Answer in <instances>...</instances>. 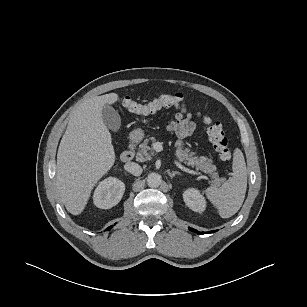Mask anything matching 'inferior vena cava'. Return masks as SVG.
Wrapping results in <instances>:
<instances>
[{"instance_id":"inferior-vena-cava-1","label":"inferior vena cava","mask_w":307,"mask_h":307,"mask_svg":"<svg viewBox=\"0 0 307 307\" xmlns=\"http://www.w3.org/2000/svg\"><path fill=\"white\" fill-rule=\"evenodd\" d=\"M124 168L126 171H128L129 173L135 175V176H140L142 173V168L139 164L135 163V162H128L124 165Z\"/></svg>"}]
</instances>
